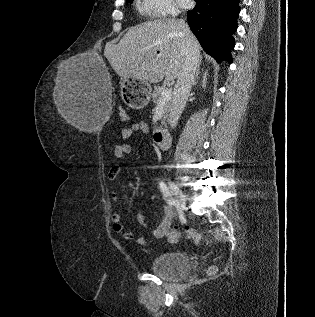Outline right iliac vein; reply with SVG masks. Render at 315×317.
<instances>
[{"instance_id": "1", "label": "right iliac vein", "mask_w": 315, "mask_h": 317, "mask_svg": "<svg viewBox=\"0 0 315 317\" xmlns=\"http://www.w3.org/2000/svg\"><path fill=\"white\" fill-rule=\"evenodd\" d=\"M169 188L171 193L174 195L176 199L177 206L180 210H183L185 208V195L182 193L180 188L174 184L173 182H169Z\"/></svg>"}]
</instances>
